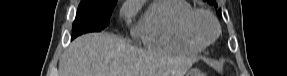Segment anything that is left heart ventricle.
<instances>
[{
  "label": "left heart ventricle",
  "instance_id": "1",
  "mask_svg": "<svg viewBox=\"0 0 287 76\" xmlns=\"http://www.w3.org/2000/svg\"><path fill=\"white\" fill-rule=\"evenodd\" d=\"M196 32L202 39H209L214 33V27L204 16L198 17L196 21Z\"/></svg>",
  "mask_w": 287,
  "mask_h": 76
}]
</instances>
